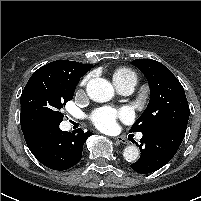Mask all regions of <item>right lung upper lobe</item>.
Here are the masks:
<instances>
[{
	"instance_id": "1",
	"label": "right lung upper lobe",
	"mask_w": 201,
	"mask_h": 201,
	"mask_svg": "<svg viewBox=\"0 0 201 201\" xmlns=\"http://www.w3.org/2000/svg\"><path fill=\"white\" fill-rule=\"evenodd\" d=\"M47 65L51 66V67H54L56 69L62 70V71L69 72V73H75V72H78L80 70H88L90 68V66H91V64H81V63H78V62H75V61H63V60L54 61V62H51V63H49ZM30 131L31 130L23 131V134H27Z\"/></svg>"
}]
</instances>
